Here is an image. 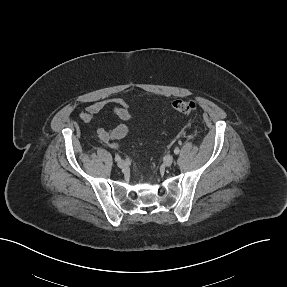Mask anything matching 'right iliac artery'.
I'll list each match as a JSON object with an SVG mask.
<instances>
[{"instance_id":"right-iliac-artery-1","label":"right iliac artery","mask_w":287,"mask_h":287,"mask_svg":"<svg viewBox=\"0 0 287 287\" xmlns=\"http://www.w3.org/2000/svg\"><path fill=\"white\" fill-rule=\"evenodd\" d=\"M115 160H116V161H120V160H121V157H120L119 155H116V156H115Z\"/></svg>"}]
</instances>
